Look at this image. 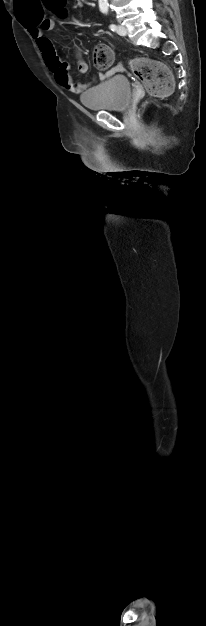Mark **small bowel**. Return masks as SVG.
I'll list each match as a JSON object with an SVG mask.
<instances>
[{"mask_svg":"<svg viewBox=\"0 0 206 626\" xmlns=\"http://www.w3.org/2000/svg\"><path fill=\"white\" fill-rule=\"evenodd\" d=\"M75 6H82V0H75ZM53 27L54 22L49 18H41L37 24L27 26V28H29L30 35L36 42L45 63L54 74L56 82L64 89L74 94H82L90 87L91 83H76L69 74L70 65L58 58L52 41L44 34L45 31H50ZM77 68L79 72L83 74L88 70V65L81 58L80 53H78ZM121 68V65H116L105 74L99 73L97 78L99 81H103L121 70Z\"/></svg>","mask_w":206,"mask_h":626,"instance_id":"c3829d8e","label":"small bowel"}]
</instances>
